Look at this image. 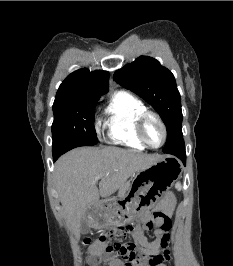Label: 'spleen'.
<instances>
[{
    "instance_id": "1",
    "label": "spleen",
    "mask_w": 233,
    "mask_h": 266,
    "mask_svg": "<svg viewBox=\"0 0 233 266\" xmlns=\"http://www.w3.org/2000/svg\"><path fill=\"white\" fill-rule=\"evenodd\" d=\"M175 187H176L178 190H180V189H181V184H180V183H177V184L175 185Z\"/></svg>"
}]
</instances>
